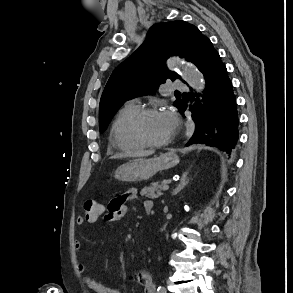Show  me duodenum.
<instances>
[{"instance_id": "duodenum-1", "label": "duodenum", "mask_w": 293, "mask_h": 293, "mask_svg": "<svg viewBox=\"0 0 293 293\" xmlns=\"http://www.w3.org/2000/svg\"><path fill=\"white\" fill-rule=\"evenodd\" d=\"M152 210L151 209H147L146 210V214H151Z\"/></svg>"}]
</instances>
